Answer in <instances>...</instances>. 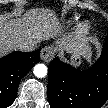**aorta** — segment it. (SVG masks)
<instances>
[{
    "label": "aorta",
    "instance_id": "obj_1",
    "mask_svg": "<svg viewBox=\"0 0 108 108\" xmlns=\"http://www.w3.org/2000/svg\"><path fill=\"white\" fill-rule=\"evenodd\" d=\"M33 73L38 78H43L47 75V67L44 64H36Z\"/></svg>",
    "mask_w": 108,
    "mask_h": 108
}]
</instances>
